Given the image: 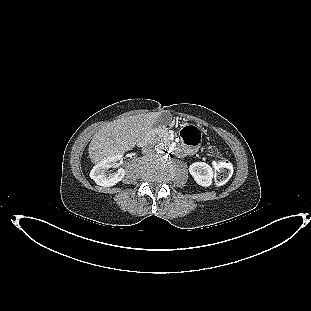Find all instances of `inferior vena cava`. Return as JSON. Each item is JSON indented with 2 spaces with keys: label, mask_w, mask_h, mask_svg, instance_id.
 I'll list each match as a JSON object with an SVG mask.
<instances>
[{
  "label": "inferior vena cava",
  "mask_w": 311,
  "mask_h": 311,
  "mask_svg": "<svg viewBox=\"0 0 311 311\" xmlns=\"http://www.w3.org/2000/svg\"><path fill=\"white\" fill-rule=\"evenodd\" d=\"M154 153V148L151 145H146L145 147L142 148V154H153Z\"/></svg>",
  "instance_id": "602c4592"
}]
</instances>
